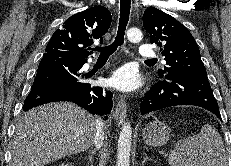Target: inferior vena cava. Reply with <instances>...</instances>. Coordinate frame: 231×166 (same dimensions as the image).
<instances>
[{"mask_svg":"<svg viewBox=\"0 0 231 166\" xmlns=\"http://www.w3.org/2000/svg\"><path fill=\"white\" fill-rule=\"evenodd\" d=\"M104 140V124L102 120H97V133L95 136V146L97 149H100Z\"/></svg>","mask_w":231,"mask_h":166,"instance_id":"inferior-vena-cava-1","label":"inferior vena cava"}]
</instances>
